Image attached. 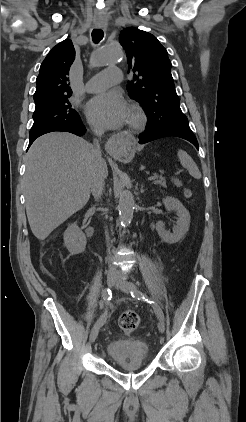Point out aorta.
I'll return each instance as SVG.
<instances>
[{
	"label": "aorta",
	"instance_id": "1",
	"mask_svg": "<svg viewBox=\"0 0 246 422\" xmlns=\"http://www.w3.org/2000/svg\"><path fill=\"white\" fill-rule=\"evenodd\" d=\"M123 59V51L120 47L103 46L96 50L91 57V65L101 66L105 64L118 63ZM125 187V182L119 191V221L121 226L126 227L130 224L134 213V196L128 188Z\"/></svg>",
	"mask_w": 246,
	"mask_h": 422
}]
</instances>
